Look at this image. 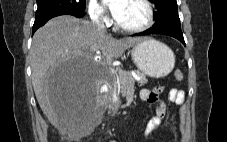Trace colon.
Wrapping results in <instances>:
<instances>
[{
    "mask_svg": "<svg viewBox=\"0 0 227 142\" xmlns=\"http://www.w3.org/2000/svg\"><path fill=\"white\" fill-rule=\"evenodd\" d=\"M175 78H176L177 80H182V78H183L182 72H181V71H176V72H175ZM153 117H154V116L147 117V118L143 121V123H142V125H141V129L146 128L147 125L149 124V122L153 119ZM124 142H131V141H130V140H126V141H124Z\"/></svg>",
    "mask_w": 227,
    "mask_h": 142,
    "instance_id": "colon-1",
    "label": "colon"
}]
</instances>
